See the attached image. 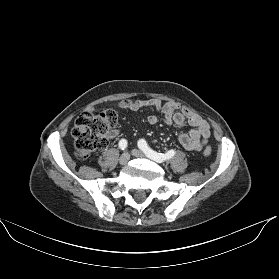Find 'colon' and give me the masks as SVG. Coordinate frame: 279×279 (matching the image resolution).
I'll list each match as a JSON object with an SVG mask.
<instances>
[{"label":"colon","instance_id":"1","mask_svg":"<svg viewBox=\"0 0 279 279\" xmlns=\"http://www.w3.org/2000/svg\"><path fill=\"white\" fill-rule=\"evenodd\" d=\"M117 123V114L108 109L100 113L82 112L72 129L75 156L79 160L88 159L97 149L108 143V134ZM205 156L211 154V148L203 151Z\"/></svg>","mask_w":279,"mask_h":279}]
</instances>
